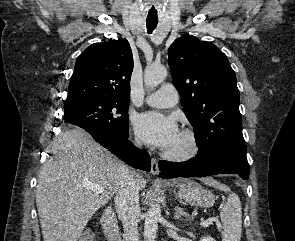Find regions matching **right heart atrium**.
I'll use <instances>...</instances> for the list:
<instances>
[{"mask_svg": "<svg viewBox=\"0 0 295 241\" xmlns=\"http://www.w3.org/2000/svg\"><path fill=\"white\" fill-rule=\"evenodd\" d=\"M136 144H140V142L138 140H136Z\"/></svg>", "mask_w": 295, "mask_h": 241, "instance_id": "1", "label": "right heart atrium"}]
</instances>
